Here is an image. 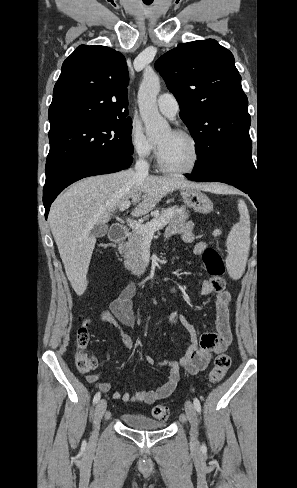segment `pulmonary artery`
Segmentation results:
<instances>
[{
  "label": "pulmonary artery",
  "instance_id": "1",
  "mask_svg": "<svg viewBox=\"0 0 297 488\" xmlns=\"http://www.w3.org/2000/svg\"><path fill=\"white\" fill-rule=\"evenodd\" d=\"M159 111L169 117L173 118L179 111V104L171 93H163L157 99Z\"/></svg>",
  "mask_w": 297,
  "mask_h": 488
}]
</instances>
